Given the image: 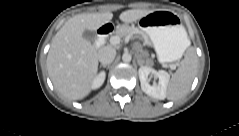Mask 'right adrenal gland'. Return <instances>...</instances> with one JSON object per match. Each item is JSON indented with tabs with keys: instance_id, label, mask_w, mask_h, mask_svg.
I'll return each instance as SVG.
<instances>
[{
	"instance_id": "2a0ac1e0",
	"label": "right adrenal gland",
	"mask_w": 239,
	"mask_h": 136,
	"mask_svg": "<svg viewBox=\"0 0 239 136\" xmlns=\"http://www.w3.org/2000/svg\"><path fill=\"white\" fill-rule=\"evenodd\" d=\"M100 67H103V68H109V65L107 66V65H101Z\"/></svg>"
}]
</instances>
